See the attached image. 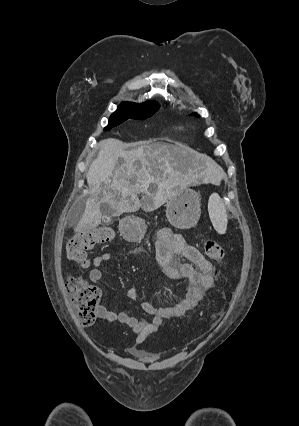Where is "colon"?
Wrapping results in <instances>:
<instances>
[{
    "label": "colon",
    "mask_w": 299,
    "mask_h": 426,
    "mask_svg": "<svg viewBox=\"0 0 299 426\" xmlns=\"http://www.w3.org/2000/svg\"><path fill=\"white\" fill-rule=\"evenodd\" d=\"M114 232L109 227H98L75 233L67 244V257L81 267H87V252L94 247L109 242ZM204 254L211 261L219 262L224 258L223 247L214 240L204 243ZM66 290L82 326H90L96 318V310L100 300V291L87 280L78 276H70L66 281Z\"/></svg>",
    "instance_id": "5ec220e1"
}]
</instances>
